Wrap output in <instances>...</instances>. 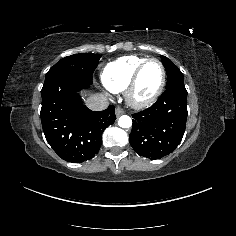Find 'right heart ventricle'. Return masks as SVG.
<instances>
[{"mask_svg": "<svg viewBox=\"0 0 236 236\" xmlns=\"http://www.w3.org/2000/svg\"><path fill=\"white\" fill-rule=\"evenodd\" d=\"M146 59V57L128 55L107 63L100 74L103 86L112 93L124 92L134 71Z\"/></svg>", "mask_w": 236, "mask_h": 236, "instance_id": "obj_1", "label": "right heart ventricle"}]
</instances>
